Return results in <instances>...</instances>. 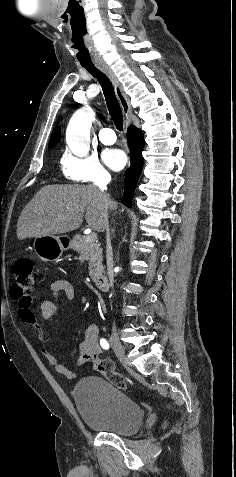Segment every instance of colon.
<instances>
[{
    "mask_svg": "<svg viewBox=\"0 0 236 477\" xmlns=\"http://www.w3.org/2000/svg\"><path fill=\"white\" fill-rule=\"evenodd\" d=\"M12 296L18 301L19 308H31L32 291L35 286L36 276L33 261L28 257L16 260L13 266ZM95 368L115 387H127L124 377L115 371L111 360L98 358L94 362Z\"/></svg>",
    "mask_w": 236,
    "mask_h": 477,
    "instance_id": "colon-1",
    "label": "colon"
}]
</instances>
